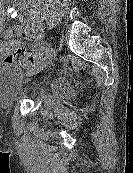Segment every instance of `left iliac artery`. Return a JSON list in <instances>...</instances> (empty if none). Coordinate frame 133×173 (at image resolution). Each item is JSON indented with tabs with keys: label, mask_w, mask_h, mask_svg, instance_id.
Segmentation results:
<instances>
[{
	"label": "left iliac artery",
	"mask_w": 133,
	"mask_h": 173,
	"mask_svg": "<svg viewBox=\"0 0 133 173\" xmlns=\"http://www.w3.org/2000/svg\"><path fill=\"white\" fill-rule=\"evenodd\" d=\"M40 41H41L42 49L47 53L49 51V45L47 43L43 42L41 37H40Z\"/></svg>",
	"instance_id": "obj_1"
}]
</instances>
